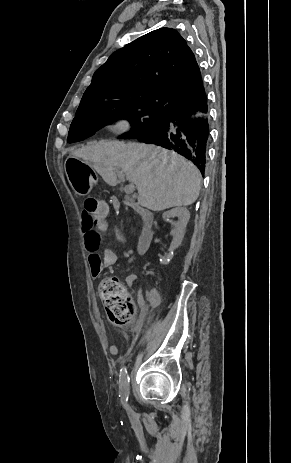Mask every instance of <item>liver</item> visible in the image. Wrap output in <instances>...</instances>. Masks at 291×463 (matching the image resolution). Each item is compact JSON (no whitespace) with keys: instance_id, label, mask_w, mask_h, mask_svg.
I'll return each mask as SVG.
<instances>
[{"instance_id":"6515ba94","label":"liver","mask_w":291,"mask_h":463,"mask_svg":"<svg viewBox=\"0 0 291 463\" xmlns=\"http://www.w3.org/2000/svg\"><path fill=\"white\" fill-rule=\"evenodd\" d=\"M89 163L110 186L120 169L138 191V204L152 211L189 206L198 196L201 174L184 157L155 145L99 141L71 153Z\"/></svg>"}]
</instances>
